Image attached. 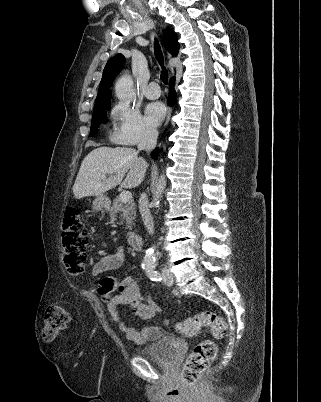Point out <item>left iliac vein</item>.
Wrapping results in <instances>:
<instances>
[{
	"label": "left iliac vein",
	"instance_id": "4c4485c4",
	"mask_svg": "<svg viewBox=\"0 0 321 402\" xmlns=\"http://www.w3.org/2000/svg\"><path fill=\"white\" fill-rule=\"evenodd\" d=\"M163 281L168 286L172 285L173 283V275L168 269L163 270Z\"/></svg>",
	"mask_w": 321,
	"mask_h": 402
}]
</instances>
